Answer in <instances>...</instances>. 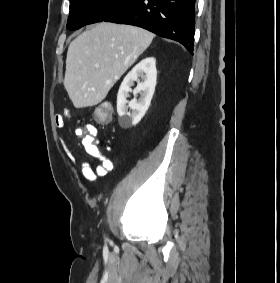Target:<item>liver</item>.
Returning <instances> with one entry per match:
<instances>
[{
    "mask_svg": "<svg viewBox=\"0 0 280 283\" xmlns=\"http://www.w3.org/2000/svg\"><path fill=\"white\" fill-rule=\"evenodd\" d=\"M154 37L139 27L101 22L74 39L68 47L64 78L74 107L103 101Z\"/></svg>",
    "mask_w": 280,
    "mask_h": 283,
    "instance_id": "6515ba94",
    "label": "liver"
}]
</instances>
